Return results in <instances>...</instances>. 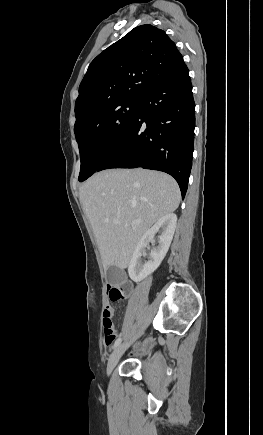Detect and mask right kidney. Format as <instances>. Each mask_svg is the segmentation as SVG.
<instances>
[{
  "instance_id": "right-kidney-1",
  "label": "right kidney",
  "mask_w": 263,
  "mask_h": 435,
  "mask_svg": "<svg viewBox=\"0 0 263 435\" xmlns=\"http://www.w3.org/2000/svg\"><path fill=\"white\" fill-rule=\"evenodd\" d=\"M176 225L177 216L169 213L160 218L152 228L143 234L134 250L128 267L129 276L133 281H142L160 266L170 247ZM159 231L161 235L158 237V245L151 250L149 260L144 261L142 257L147 256L146 247L149 242L154 240L156 233Z\"/></svg>"
}]
</instances>
